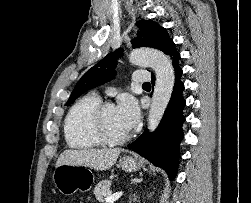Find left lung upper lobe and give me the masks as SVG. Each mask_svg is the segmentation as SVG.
<instances>
[{
    "mask_svg": "<svg viewBox=\"0 0 251 203\" xmlns=\"http://www.w3.org/2000/svg\"><path fill=\"white\" fill-rule=\"evenodd\" d=\"M136 26L139 30L137 38L131 41L133 48L152 47L165 52L173 41L166 29L152 20H140L136 23ZM121 55L122 49H118L114 53L106 55L100 62L89 69L76 84L66 105H69L85 91L112 80L116 73L117 58Z\"/></svg>",
    "mask_w": 251,
    "mask_h": 203,
    "instance_id": "left-lung-upper-lobe-1",
    "label": "left lung upper lobe"
}]
</instances>
